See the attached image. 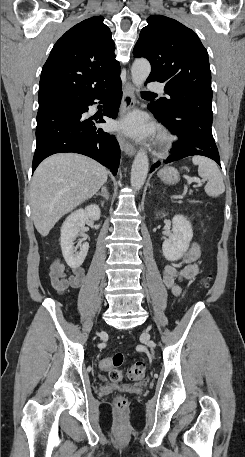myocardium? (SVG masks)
Returning <instances> with one entry per match:
<instances>
[{"instance_id": "obj_1", "label": "myocardium", "mask_w": 245, "mask_h": 457, "mask_svg": "<svg viewBox=\"0 0 245 457\" xmlns=\"http://www.w3.org/2000/svg\"><path fill=\"white\" fill-rule=\"evenodd\" d=\"M159 143L164 150H167L172 146L173 139L169 134L165 133L161 136Z\"/></svg>"}]
</instances>
